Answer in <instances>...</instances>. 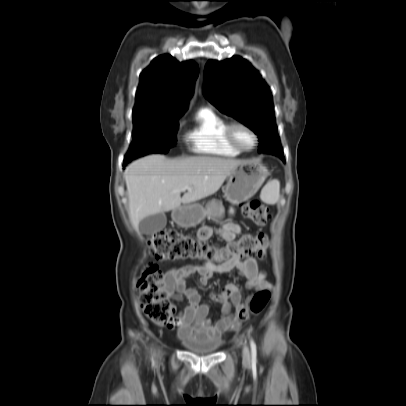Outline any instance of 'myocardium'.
<instances>
[{"instance_id":"obj_1","label":"myocardium","mask_w":406,"mask_h":406,"mask_svg":"<svg viewBox=\"0 0 406 406\" xmlns=\"http://www.w3.org/2000/svg\"><path fill=\"white\" fill-rule=\"evenodd\" d=\"M238 127L246 129L252 135L254 142L251 147L247 148L238 143V141L234 135V131ZM226 138L231 145H233L235 148H237L240 151H251L257 146V143H258V136H257L256 132L254 131V129L242 121H233V122L228 123L227 128H226Z\"/></svg>"}]
</instances>
